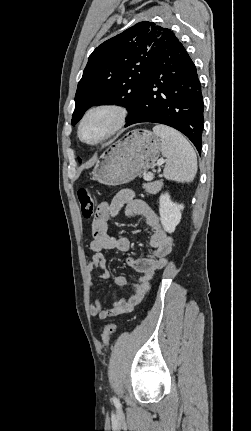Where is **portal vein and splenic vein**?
I'll return each instance as SVG.
<instances>
[{
  "instance_id": "obj_1",
  "label": "portal vein and splenic vein",
  "mask_w": 251,
  "mask_h": 431,
  "mask_svg": "<svg viewBox=\"0 0 251 431\" xmlns=\"http://www.w3.org/2000/svg\"><path fill=\"white\" fill-rule=\"evenodd\" d=\"M163 162H164V159H162V161L160 163H158V165H161ZM152 179H153L152 175H149V174L144 175V180L150 181Z\"/></svg>"
}]
</instances>
